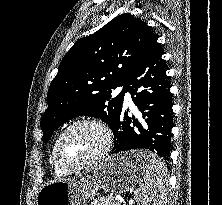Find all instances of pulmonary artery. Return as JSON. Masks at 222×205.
Returning a JSON list of instances; mask_svg holds the SVG:
<instances>
[{"label": "pulmonary artery", "instance_id": "obj_1", "mask_svg": "<svg viewBox=\"0 0 222 205\" xmlns=\"http://www.w3.org/2000/svg\"><path fill=\"white\" fill-rule=\"evenodd\" d=\"M125 101L127 103L131 104V96H130V94L128 92L125 94Z\"/></svg>", "mask_w": 222, "mask_h": 205}]
</instances>
